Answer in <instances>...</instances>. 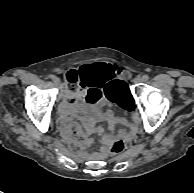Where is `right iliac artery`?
<instances>
[{
  "instance_id": "right-iliac-artery-1",
  "label": "right iliac artery",
  "mask_w": 194,
  "mask_h": 193,
  "mask_svg": "<svg viewBox=\"0 0 194 193\" xmlns=\"http://www.w3.org/2000/svg\"><path fill=\"white\" fill-rule=\"evenodd\" d=\"M50 78H51L52 80H54V79L56 78V76H55V75H51Z\"/></svg>"
}]
</instances>
